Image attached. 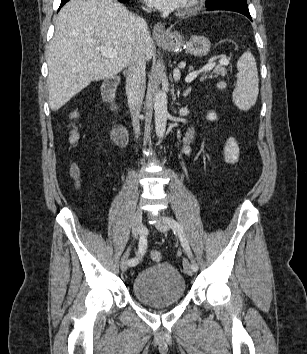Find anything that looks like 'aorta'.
<instances>
[{
    "label": "aorta",
    "instance_id": "762f6f07",
    "mask_svg": "<svg viewBox=\"0 0 307 354\" xmlns=\"http://www.w3.org/2000/svg\"><path fill=\"white\" fill-rule=\"evenodd\" d=\"M155 132L159 139L164 137L167 119L169 116L167 109V95L164 91H157L154 97Z\"/></svg>",
    "mask_w": 307,
    "mask_h": 354
}]
</instances>
